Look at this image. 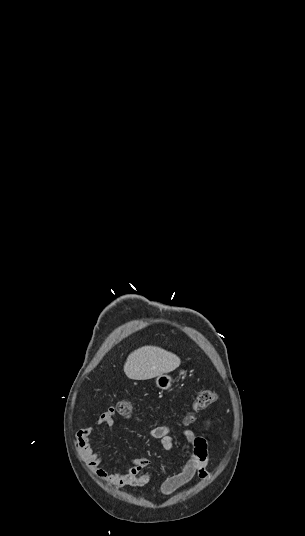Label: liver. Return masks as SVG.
I'll return each instance as SVG.
<instances>
[{
    "label": "liver",
    "mask_w": 305,
    "mask_h": 536,
    "mask_svg": "<svg viewBox=\"0 0 305 536\" xmlns=\"http://www.w3.org/2000/svg\"><path fill=\"white\" fill-rule=\"evenodd\" d=\"M180 358L155 346H143L128 356L123 370L130 380H151L160 374L173 372L180 366Z\"/></svg>",
    "instance_id": "liver-1"
}]
</instances>
